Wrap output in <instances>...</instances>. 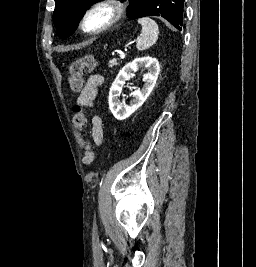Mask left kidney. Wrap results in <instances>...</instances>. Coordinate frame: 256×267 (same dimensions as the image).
Returning a JSON list of instances; mask_svg holds the SVG:
<instances>
[{"instance_id": "left-kidney-1", "label": "left kidney", "mask_w": 256, "mask_h": 267, "mask_svg": "<svg viewBox=\"0 0 256 267\" xmlns=\"http://www.w3.org/2000/svg\"><path fill=\"white\" fill-rule=\"evenodd\" d=\"M138 68H147L148 72L143 76L144 86L142 90H136V92H131L130 96L134 98L131 100L129 106L121 104L119 102V96L122 94V88L126 84L127 80H130L133 76V72L138 70ZM160 64L156 58H150V56H144V58H135L133 62L126 64L122 70H120L118 76L113 82L108 98L109 108L116 120H126L129 118L135 110H138L148 96H150L156 80L159 76Z\"/></svg>"}]
</instances>
